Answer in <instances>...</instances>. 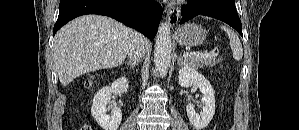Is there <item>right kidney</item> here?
<instances>
[{
  "instance_id": "right-kidney-1",
  "label": "right kidney",
  "mask_w": 299,
  "mask_h": 130,
  "mask_svg": "<svg viewBox=\"0 0 299 130\" xmlns=\"http://www.w3.org/2000/svg\"><path fill=\"white\" fill-rule=\"evenodd\" d=\"M129 88L128 79L121 77L115 80L111 86L103 87L93 98L91 114L103 130H117L121 120L122 112L117 106H111V115L106 114L107 105L113 92L126 93Z\"/></svg>"
}]
</instances>
